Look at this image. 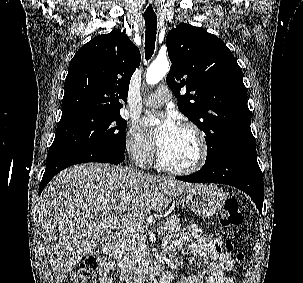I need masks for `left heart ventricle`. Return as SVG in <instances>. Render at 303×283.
Returning <instances> with one entry per match:
<instances>
[{
  "instance_id": "obj_1",
  "label": "left heart ventricle",
  "mask_w": 303,
  "mask_h": 283,
  "mask_svg": "<svg viewBox=\"0 0 303 283\" xmlns=\"http://www.w3.org/2000/svg\"><path fill=\"white\" fill-rule=\"evenodd\" d=\"M167 164L175 167L191 166L198 157V142L192 132L178 128L175 135L160 149Z\"/></svg>"
}]
</instances>
